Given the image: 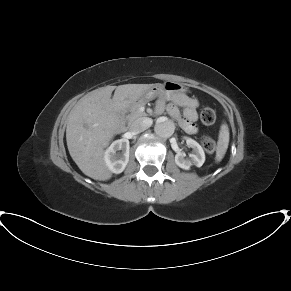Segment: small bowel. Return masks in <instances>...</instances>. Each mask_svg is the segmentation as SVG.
I'll use <instances>...</instances> for the list:
<instances>
[{
	"mask_svg": "<svg viewBox=\"0 0 291 291\" xmlns=\"http://www.w3.org/2000/svg\"><path fill=\"white\" fill-rule=\"evenodd\" d=\"M179 107H183V112L180 111ZM197 107V101L184 94H176L170 98V102L166 106V111L187 134H196L198 127L194 123V120L196 118ZM163 108L164 102L159 101L158 109L162 110Z\"/></svg>",
	"mask_w": 291,
	"mask_h": 291,
	"instance_id": "obj_1",
	"label": "small bowel"
}]
</instances>
